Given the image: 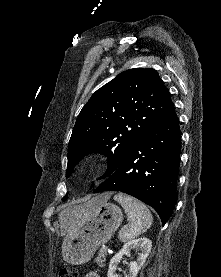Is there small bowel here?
<instances>
[{
	"instance_id": "c3829d8e",
	"label": "small bowel",
	"mask_w": 221,
	"mask_h": 277,
	"mask_svg": "<svg viewBox=\"0 0 221 277\" xmlns=\"http://www.w3.org/2000/svg\"><path fill=\"white\" fill-rule=\"evenodd\" d=\"M85 277H100V276L95 272H89L85 275Z\"/></svg>"
}]
</instances>
